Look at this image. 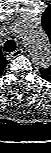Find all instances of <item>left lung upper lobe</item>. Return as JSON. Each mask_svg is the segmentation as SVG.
<instances>
[{"mask_svg":"<svg viewBox=\"0 0 51 153\" xmlns=\"http://www.w3.org/2000/svg\"><path fill=\"white\" fill-rule=\"evenodd\" d=\"M42 26L51 42V5L43 12ZM40 74L45 80L51 81V65L48 68L40 69Z\"/></svg>","mask_w":51,"mask_h":153,"instance_id":"1","label":"left lung upper lobe"}]
</instances>
